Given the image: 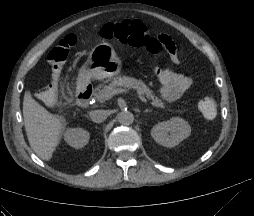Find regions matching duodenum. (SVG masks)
Wrapping results in <instances>:
<instances>
[{"label": "duodenum", "instance_id": "410a0bca", "mask_svg": "<svg viewBox=\"0 0 254 216\" xmlns=\"http://www.w3.org/2000/svg\"><path fill=\"white\" fill-rule=\"evenodd\" d=\"M93 87L91 84H85L76 91V102L80 106H87L91 99Z\"/></svg>", "mask_w": 254, "mask_h": 216}]
</instances>
